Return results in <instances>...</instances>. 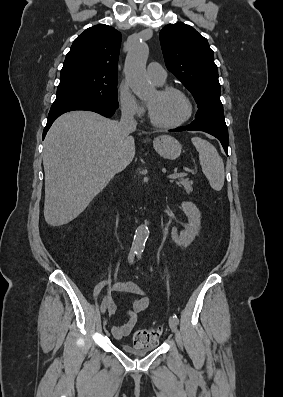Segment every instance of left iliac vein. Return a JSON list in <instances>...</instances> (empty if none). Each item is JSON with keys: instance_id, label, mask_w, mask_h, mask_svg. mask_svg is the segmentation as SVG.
I'll return each instance as SVG.
<instances>
[{"instance_id": "4c4485c4", "label": "left iliac vein", "mask_w": 283, "mask_h": 397, "mask_svg": "<svg viewBox=\"0 0 283 397\" xmlns=\"http://www.w3.org/2000/svg\"><path fill=\"white\" fill-rule=\"evenodd\" d=\"M169 326H170V328H171V330H172L173 332H176V330H177V323H176V320H175L174 317H170V318H169Z\"/></svg>"}]
</instances>
